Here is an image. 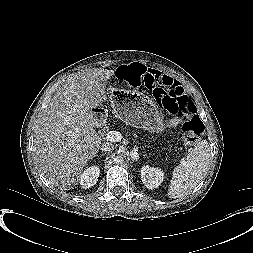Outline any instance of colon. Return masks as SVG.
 I'll return each instance as SVG.
<instances>
[{"mask_svg":"<svg viewBox=\"0 0 253 253\" xmlns=\"http://www.w3.org/2000/svg\"><path fill=\"white\" fill-rule=\"evenodd\" d=\"M147 69L139 63L122 65L117 69L119 80L133 86L142 85ZM154 99L159 106L170 116L183 120V144L192 146L197 143L204 132V124L196 115V107L191 98L181 86L157 87L153 90Z\"/></svg>","mask_w":253,"mask_h":253,"instance_id":"5ec220e1","label":"colon"}]
</instances>
